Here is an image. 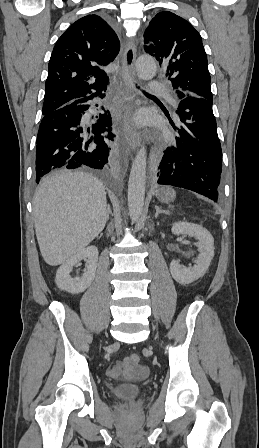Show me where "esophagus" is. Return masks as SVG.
Listing matches in <instances>:
<instances>
[{"instance_id":"1","label":"esophagus","mask_w":259,"mask_h":448,"mask_svg":"<svg viewBox=\"0 0 259 448\" xmlns=\"http://www.w3.org/2000/svg\"><path fill=\"white\" fill-rule=\"evenodd\" d=\"M137 48L134 40H128L122 59V79L125 90L130 92L128 99V115L126 121V140L132 149L140 146L141 137L138 131L132 126V116L135 108L136 93L132 86V80H136L135 60Z\"/></svg>"}]
</instances>
